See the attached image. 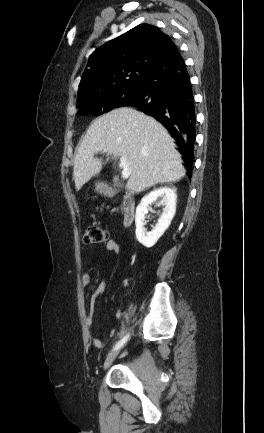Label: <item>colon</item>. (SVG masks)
Returning <instances> with one entry per match:
<instances>
[{"label": "colon", "instance_id": "5ec220e1", "mask_svg": "<svg viewBox=\"0 0 264 433\" xmlns=\"http://www.w3.org/2000/svg\"><path fill=\"white\" fill-rule=\"evenodd\" d=\"M109 239L108 232L97 225L89 226L84 233L83 240L86 244H101L107 242Z\"/></svg>", "mask_w": 264, "mask_h": 433}]
</instances>
